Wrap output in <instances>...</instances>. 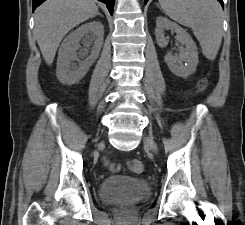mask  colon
<instances>
[{
	"mask_svg": "<svg viewBox=\"0 0 245 225\" xmlns=\"http://www.w3.org/2000/svg\"><path fill=\"white\" fill-rule=\"evenodd\" d=\"M200 89H204L205 82H201L199 85ZM111 168H114L113 165H110ZM128 168L134 173H141L144 170V164L140 160H131L128 162Z\"/></svg>",
	"mask_w": 245,
	"mask_h": 225,
	"instance_id": "obj_1",
	"label": "colon"
}]
</instances>
